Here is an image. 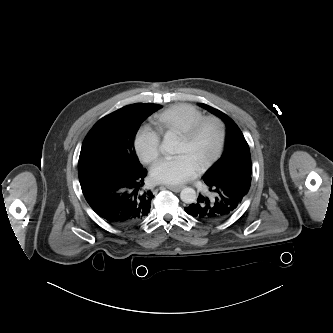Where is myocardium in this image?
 <instances>
[{
	"label": "myocardium",
	"instance_id": "1",
	"mask_svg": "<svg viewBox=\"0 0 333 333\" xmlns=\"http://www.w3.org/2000/svg\"><path fill=\"white\" fill-rule=\"evenodd\" d=\"M207 123H214L217 126L219 137H218L217 147L213 155L199 165L198 171L200 172L210 168L221 157L223 150L225 148L226 137H227V128L225 122L223 121V119L215 115L205 116L201 118L199 121H197L195 124H193L185 132L180 134L181 139L187 142H191L196 138V136L201 131L203 126L206 125Z\"/></svg>",
	"mask_w": 333,
	"mask_h": 333
}]
</instances>
